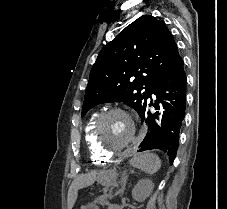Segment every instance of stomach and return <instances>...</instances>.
I'll list each match as a JSON object with an SVG mask.
<instances>
[{"mask_svg": "<svg viewBox=\"0 0 227 209\" xmlns=\"http://www.w3.org/2000/svg\"><path fill=\"white\" fill-rule=\"evenodd\" d=\"M116 178L117 174L113 171H103L98 175L97 180L100 184L104 186H109L116 180Z\"/></svg>", "mask_w": 227, "mask_h": 209, "instance_id": "obj_1", "label": "stomach"}]
</instances>
